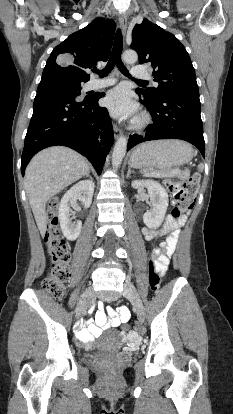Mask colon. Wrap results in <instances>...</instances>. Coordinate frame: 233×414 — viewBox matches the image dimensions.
<instances>
[{"mask_svg":"<svg viewBox=\"0 0 233 414\" xmlns=\"http://www.w3.org/2000/svg\"><path fill=\"white\" fill-rule=\"evenodd\" d=\"M167 189L172 193L173 201L176 203L172 210V218L181 220L195 204L196 193L199 188V175L194 173L191 178L184 182L167 181ZM59 204L52 200L48 205V225L44 240L48 253L52 260V266L47 278L43 281V288L55 299H61L65 293V286L71 278L69 268L70 247L62 237L58 227ZM163 241H160V244ZM163 250L154 248L149 261V283L153 290L159 286V276L155 271V261L161 257ZM125 333H130L129 326L123 327Z\"/></svg>","mask_w":233,"mask_h":414,"instance_id":"5ec220e1","label":"colon"}]
</instances>
